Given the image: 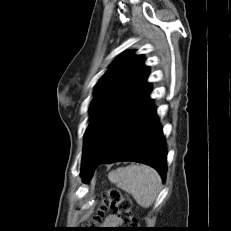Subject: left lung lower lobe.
<instances>
[{"label":"left lung lower lobe","instance_id":"0a47b994","mask_svg":"<svg viewBox=\"0 0 231 231\" xmlns=\"http://www.w3.org/2000/svg\"><path fill=\"white\" fill-rule=\"evenodd\" d=\"M150 92L151 85L146 81L108 124L81 166L84 182L99 165L120 161L150 165L165 179L167 148Z\"/></svg>","mask_w":231,"mask_h":231}]
</instances>
